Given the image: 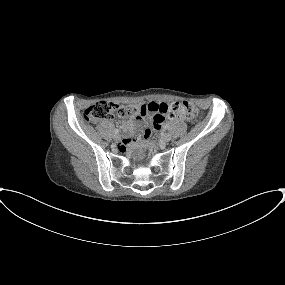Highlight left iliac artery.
Wrapping results in <instances>:
<instances>
[{
  "label": "left iliac artery",
  "mask_w": 285,
  "mask_h": 285,
  "mask_svg": "<svg viewBox=\"0 0 285 285\" xmlns=\"http://www.w3.org/2000/svg\"><path fill=\"white\" fill-rule=\"evenodd\" d=\"M164 128H165V129H168V128H169V125H168V124H166V125L164 126Z\"/></svg>",
  "instance_id": "left-iliac-artery-1"
}]
</instances>
